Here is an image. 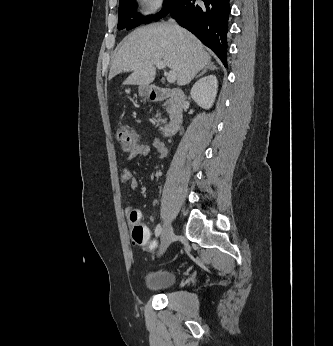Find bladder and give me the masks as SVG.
Masks as SVG:
<instances>
[{
	"instance_id": "31cf9c89",
	"label": "bladder",
	"mask_w": 333,
	"mask_h": 346,
	"mask_svg": "<svg viewBox=\"0 0 333 346\" xmlns=\"http://www.w3.org/2000/svg\"><path fill=\"white\" fill-rule=\"evenodd\" d=\"M176 282V274L172 271H156L151 273L146 281L147 288L152 292L170 289Z\"/></svg>"
}]
</instances>
